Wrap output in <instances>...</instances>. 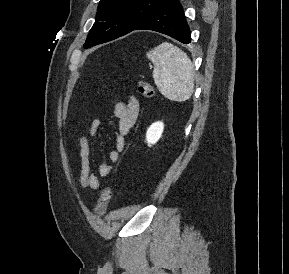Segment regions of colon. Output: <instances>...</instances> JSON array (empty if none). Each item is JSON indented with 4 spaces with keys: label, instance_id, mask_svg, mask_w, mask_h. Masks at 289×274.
<instances>
[{
    "label": "colon",
    "instance_id": "1",
    "mask_svg": "<svg viewBox=\"0 0 289 274\" xmlns=\"http://www.w3.org/2000/svg\"><path fill=\"white\" fill-rule=\"evenodd\" d=\"M138 92L145 98L151 99L154 97V89L146 81L139 80L137 83ZM112 198V188L111 186H106L100 193L97 204L95 205L93 211L96 215H101L106 210L110 200Z\"/></svg>",
    "mask_w": 289,
    "mask_h": 274
}]
</instances>
